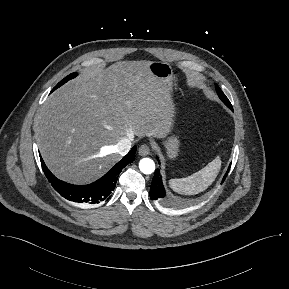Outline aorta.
<instances>
[{
    "label": "aorta",
    "mask_w": 289,
    "mask_h": 289,
    "mask_svg": "<svg viewBox=\"0 0 289 289\" xmlns=\"http://www.w3.org/2000/svg\"><path fill=\"white\" fill-rule=\"evenodd\" d=\"M139 168L144 174H152L155 170V163L150 158H143L139 162Z\"/></svg>",
    "instance_id": "aorta-1"
}]
</instances>
